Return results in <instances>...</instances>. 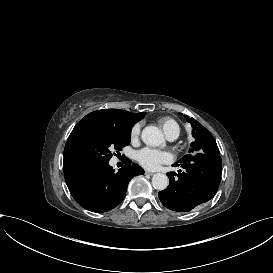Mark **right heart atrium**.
<instances>
[{"mask_svg":"<svg viewBox=\"0 0 273 273\" xmlns=\"http://www.w3.org/2000/svg\"><path fill=\"white\" fill-rule=\"evenodd\" d=\"M140 134V127L139 125H135L132 130H131V138L132 139H137Z\"/></svg>","mask_w":273,"mask_h":273,"instance_id":"right-heart-atrium-1","label":"right heart atrium"}]
</instances>
